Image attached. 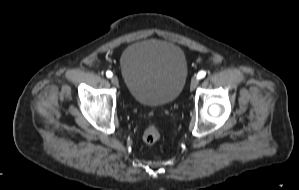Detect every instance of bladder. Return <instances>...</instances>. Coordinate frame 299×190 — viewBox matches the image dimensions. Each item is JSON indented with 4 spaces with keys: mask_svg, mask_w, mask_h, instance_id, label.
Returning <instances> with one entry per match:
<instances>
[{
    "mask_svg": "<svg viewBox=\"0 0 299 190\" xmlns=\"http://www.w3.org/2000/svg\"><path fill=\"white\" fill-rule=\"evenodd\" d=\"M120 69L130 94L137 102L160 106L175 100L183 90L188 62L179 46L145 39L124 50Z\"/></svg>",
    "mask_w": 299,
    "mask_h": 190,
    "instance_id": "1",
    "label": "bladder"
}]
</instances>
